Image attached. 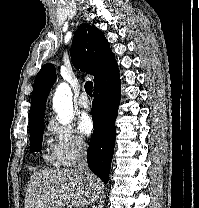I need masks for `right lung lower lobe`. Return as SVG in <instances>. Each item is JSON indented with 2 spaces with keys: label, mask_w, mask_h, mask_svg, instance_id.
I'll return each instance as SVG.
<instances>
[{
  "label": "right lung lower lobe",
  "mask_w": 199,
  "mask_h": 208,
  "mask_svg": "<svg viewBox=\"0 0 199 208\" xmlns=\"http://www.w3.org/2000/svg\"><path fill=\"white\" fill-rule=\"evenodd\" d=\"M120 79L94 89L92 119L94 131L87 150V162L91 171L105 184L115 146V120L120 103Z\"/></svg>",
  "instance_id": "1"
}]
</instances>
